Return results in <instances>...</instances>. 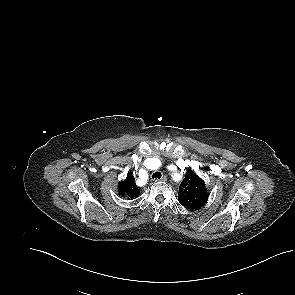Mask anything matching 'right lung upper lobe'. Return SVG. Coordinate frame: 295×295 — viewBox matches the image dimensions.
<instances>
[{"mask_svg":"<svg viewBox=\"0 0 295 295\" xmlns=\"http://www.w3.org/2000/svg\"><path fill=\"white\" fill-rule=\"evenodd\" d=\"M118 189L120 195L130 198H136L140 194V189L136 186L132 173H128L126 179L119 183Z\"/></svg>","mask_w":295,"mask_h":295,"instance_id":"cb5924a9","label":"right lung upper lobe"}]
</instances>
